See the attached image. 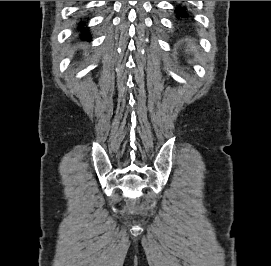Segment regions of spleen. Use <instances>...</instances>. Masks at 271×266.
Masks as SVG:
<instances>
[{"instance_id":"spleen-1","label":"spleen","mask_w":271,"mask_h":266,"mask_svg":"<svg viewBox=\"0 0 271 266\" xmlns=\"http://www.w3.org/2000/svg\"><path fill=\"white\" fill-rule=\"evenodd\" d=\"M195 48V47H190V50L192 51V49ZM188 50V49H187Z\"/></svg>"}]
</instances>
